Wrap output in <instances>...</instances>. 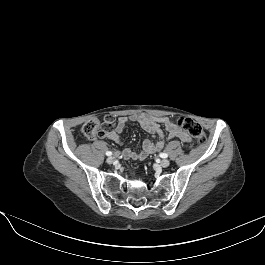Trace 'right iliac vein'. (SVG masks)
Returning a JSON list of instances; mask_svg holds the SVG:
<instances>
[{"instance_id":"right-iliac-vein-1","label":"right iliac vein","mask_w":265,"mask_h":265,"mask_svg":"<svg viewBox=\"0 0 265 265\" xmlns=\"http://www.w3.org/2000/svg\"><path fill=\"white\" fill-rule=\"evenodd\" d=\"M115 162V158L114 157H108L107 158V163L108 164H113Z\"/></svg>"}]
</instances>
